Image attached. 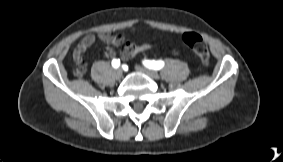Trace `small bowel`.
I'll return each mask as SVG.
<instances>
[{"label": "small bowel", "instance_id": "obj_1", "mask_svg": "<svg viewBox=\"0 0 283 162\" xmlns=\"http://www.w3.org/2000/svg\"><path fill=\"white\" fill-rule=\"evenodd\" d=\"M96 41L104 42L108 45L103 52L104 57L112 58L115 56V50L113 47H121V58L126 60L140 52H144L150 50L157 46L156 43H145L143 45L137 46L134 43L127 41L123 35L120 34H113L110 32H101L98 34H87L85 35L79 43L76 45L73 58L75 62H81L84 67V72L86 70V64L83 61V54L86 50L92 46Z\"/></svg>", "mask_w": 283, "mask_h": 162}]
</instances>
